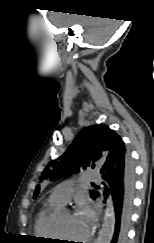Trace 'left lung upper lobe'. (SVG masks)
<instances>
[{
  "label": "left lung upper lobe",
  "instance_id": "5c2ea615",
  "mask_svg": "<svg viewBox=\"0 0 154 243\" xmlns=\"http://www.w3.org/2000/svg\"><path fill=\"white\" fill-rule=\"evenodd\" d=\"M126 153L124 143L120 136L106 125H94L84 128L69 146L67 151L58 158L51 161L42 173L41 178L50 180L58 179L80 169H87L92 161H105L107 157L117 156L118 153ZM94 168V164H92ZM95 190H91L94 197ZM39 193L37 187L34 193L36 198Z\"/></svg>",
  "mask_w": 154,
  "mask_h": 243
}]
</instances>
